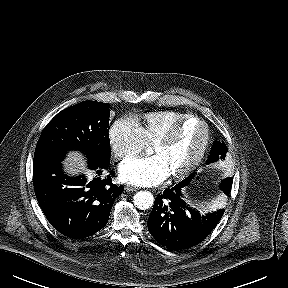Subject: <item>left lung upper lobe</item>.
<instances>
[{"mask_svg": "<svg viewBox=\"0 0 288 288\" xmlns=\"http://www.w3.org/2000/svg\"><path fill=\"white\" fill-rule=\"evenodd\" d=\"M226 152H227V147L224 145V143H220L219 141H215L213 143V146H212L211 155L209 156V158L207 160V164L216 162L220 158L224 159ZM192 176H193V174L188 176L183 181L189 182L190 179L192 178ZM232 182H233L232 177H228V178L224 179L222 184H221V189L225 190V191H230L231 187H232Z\"/></svg>", "mask_w": 288, "mask_h": 288, "instance_id": "obj_1", "label": "left lung upper lobe"}]
</instances>
